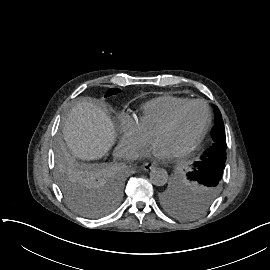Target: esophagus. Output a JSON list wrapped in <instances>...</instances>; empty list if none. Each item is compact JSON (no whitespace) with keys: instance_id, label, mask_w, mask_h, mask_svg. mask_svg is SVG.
<instances>
[{"instance_id":"esophagus-1","label":"esophagus","mask_w":270,"mask_h":270,"mask_svg":"<svg viewBox=\"0 0 270 270\" xmlns=\"http://www.w3.org/2000/svg\"><path fill=\"white\" fill-rule=\"evenodd\" d=\"M154 167V164L152 162H146L144 163L141 168L144 170V171H149L151 170L152 168Z\"/></svg>"}]
</instances>
